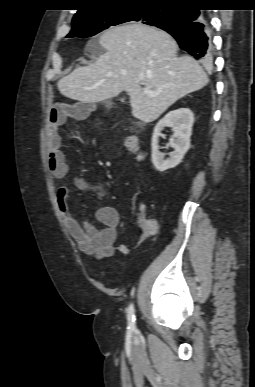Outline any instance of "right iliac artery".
<instances>
[{
    "instance_id": "82829eb1",
    "label": "right iliac artery",
    "mask_w": 255,
    "mask_h": 387,
    "mask_svg": "<svg viewBox=\"0 0 255 387\" xmlns=\"http://www.w3.org/2000/svg\"><path fill=\"white\" fill-rule=\"evenodd\" d=\"M127 319H128V329L130 330H134L135 329V309H134V306L133 304H131L128 308V315H127Z\"/></svg>"
}]
</instances>
